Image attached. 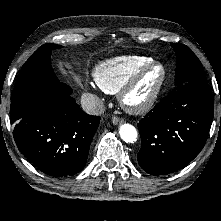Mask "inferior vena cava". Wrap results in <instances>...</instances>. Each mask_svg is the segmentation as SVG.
Listing matches in <instances>:
<instances>
[{
	"label": "inferior vena cava",
	"mask_w": 221,
	"mask_h": 221,
	"mask_svg": "<svg viewBox=\"0 0 221 221\" xmlns=\"http://www.w3.org/2000/svg\"><path fill=\"white\" fill-rule=\"evenodd\" d=\"M82 109L93 115L103 114L105 106L102 100L94 94L85 93L81 96Z\"/></svg>",
	"instance_id": "1"
}]
</instances>
